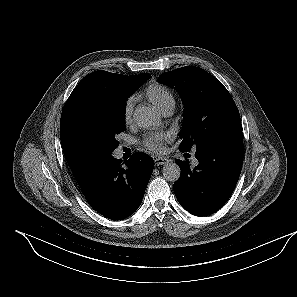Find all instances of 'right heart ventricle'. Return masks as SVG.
<instances>
[{
	"instance_id": "e07e8e85",
	"label": "right heart ventricle",
	"mask_w": 297,
	"mask_h": 297,
	"mask_svg": "<svg viewBox=\"0 0 297 297\" xmlns=\"http://www.w3.org/2000/svg\"><path fill=\"white\" fill-rule=\"evenodd\" d=\"M145 97L155 104L160 111L169 106H174L175 100L171 91L158 83H151L144 89Z\"/></svg>"
}]
</instances>
